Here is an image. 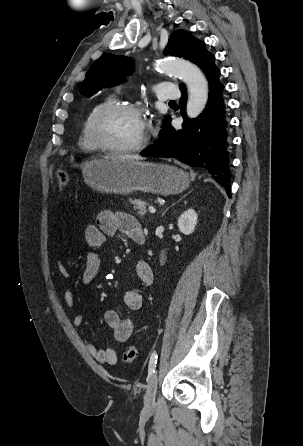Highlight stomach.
Masks as SVG:
<instances>
[{"label":"stomach","instance_id":"0dacf381","mask_svg":"<svg viewBox=\"0 0 303 446\" xmlns=\"http://www.w3.org/2000/svg\"><path fill=\"white\" fill-rule=\"evenodd\" d=\"M71 166L82 170L88 186L105 193L144 191L169 195L183 192L190 183L186 172L167 164L132 159H95L82 164L71 161Z\"/></svg>","mask_w":303,"mask_h":446}]
</instances>
